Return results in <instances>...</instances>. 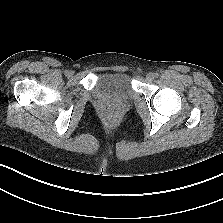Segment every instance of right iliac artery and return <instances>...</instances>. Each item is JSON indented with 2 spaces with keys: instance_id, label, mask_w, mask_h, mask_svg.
<instances>
[{
  "instance_id": "1",
  "label": "right iliac artery",
  "mask_w": 223,
  "mask_h": 223,
  "mask_svg": "<svg viewBox=\"0 0 223 223\" xmlns=\"http://www.w3.org/2000/svg\"><path fill=\"white\" fill-rule=\"evenodd\" d=\"M68 72H69V71H68V70H66V71L64 72V73H65V75H67V74H68Z\"/></svg>"
}]
</instances>
